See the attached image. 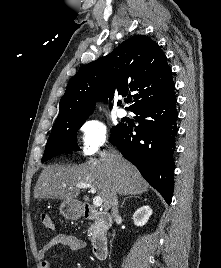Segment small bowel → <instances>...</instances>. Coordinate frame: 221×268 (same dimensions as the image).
I'll use <instances>...</instances> for the list:
<instances>
[{
	"label": "small bowel",
	"mask_w": 221,
	"mask_h": 268,
	"mask_svg": "<svg viewBox=\"0 0 221 268\" xmlns=\"http://www.w3.org/2000/svg\"><path fill=\"white\" fill-rule=\"evenodd\" d=\"M56 246H66L73 250H80L86 247V243L84 240L72 234L59 233L54 235L38 251L41 268H51V263L48 259H46V255L52 248Z\"/></svg>",
	"instance_id": "1"
}]
</instances>
